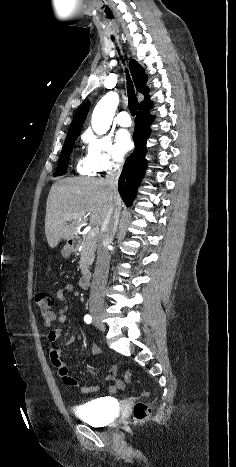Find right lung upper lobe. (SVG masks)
<instances>
[{
	"mask_svg": "<svg viewBox=\"0 0 236 467\" xmlns=\"http://www.w3.org/2000/svg\"><path fill=\"white\" fill-rule=\"evenodd\" d=\"M129 66H130V70H131V73H132V76L135 82L136 89L140 93H143L145 96L144 100L139 105V108H140L145 105H148L151 102L149 99V95H148V88L146 87L147 75L145 74L142 66L137 61L135 60L130 61ZM89 105L90 103L86 102L79 108V110L74 116L73 122L70 126V129L67 135L80 133L82 129V124L85 121L86 115L88 113Z\"/></svg>",
	"mask_w": 236,
	"mask_h": 467,
	"instance_id": "1",
	"label": "right lung upper lobe"
}]
</instances>
